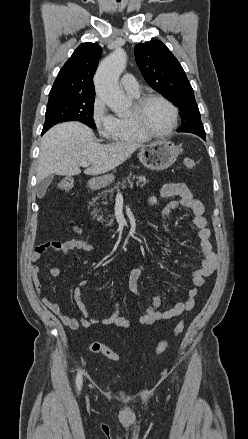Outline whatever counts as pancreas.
<instances>
[{
  "label": "pancreas",
  "instance_id": "1",
  "mask_svg": "<svg viewBox=\"0 0 248 439\" xmlns=\"http://www.w3.org/2000/svg\"><path fill=\"white\" fill-rule=\"evenodd\" d=\"M135 179H137L138 182H146V178H145V176L134 175V174H132V173H129V175H128L125 179H123L121 182H118V183L114 186V188L106 189L105 191L102 192V194H104L105 196H106L108 193L113 194V192H114L115 189H116V190L119 189V186H124V184H125L126 182H129V183H130L131 180H135ZM111 223H112V222H110L109 224H111Z\"/></svg>",
  "mask_w": 248,
  "mask_h": 439
}]
</instances>
